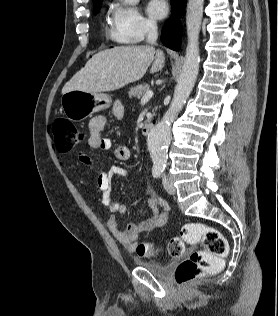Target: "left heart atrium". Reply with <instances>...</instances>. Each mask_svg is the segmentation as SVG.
Returning <instances> with one entry per match:
<instances>
[{
  "label": "left heart atrium",
  "instance_id": "obj_1",
  "mask_svg": "<svg viewBox=\"0 0 278 316\" xmlns=\"http://www.w3.org/2000/svg\"><path fill=\"white\" fill-rule=\"evenodd\" d=\"M148 14L155 19L164 18L169 12L166 0H150L147 5Z\"/></svg>",
  "mask_w": 278,
  "mask_h": 316
}]
</instances>
